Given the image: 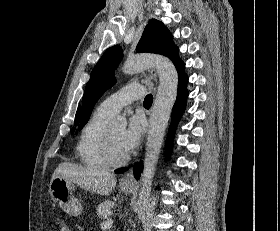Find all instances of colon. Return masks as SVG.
I'll list each match as a JSON object with an SVG mask.
<instances>
[{"mask_svg": "<svg viewBox=\"0 0 280 231\" xmlns=\"http://www.w3.org/2000/svg\"><path fill=\"white\" fill-rule=\"evenodd\" d=\"M63 231H68V229H67V228H64Z\"/></svg>", "mask_w": 280, "mask_h": 231, "instance_id": "1", "label": "colon"}]
</instances>
